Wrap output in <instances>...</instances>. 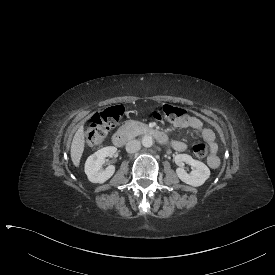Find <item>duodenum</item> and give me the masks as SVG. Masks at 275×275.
Here are the masks:
<instances>
[{
	"mask_svg": "<svg viewBox=\"0 0 275 275\" xmlns=\"http://www.w3.org/2000/svg\"><path fill=\"white\" fill-rule=\"evenodd\" d=\"M146 133L153 136L160 143H166L168 141L167 135L158 129L149 128L146 130ZM129 139L130 137L125 131L119 130L114 133L112 142L115 146L122 147L129 141Z\"/></svg>",
	"mask_w": 275,
	"mask_h": 275,
	"instance_id": "410a0bca",
	"label": "duodenum"
}]
</instances>
